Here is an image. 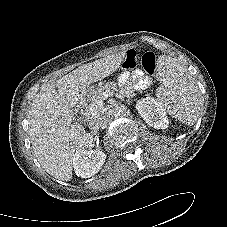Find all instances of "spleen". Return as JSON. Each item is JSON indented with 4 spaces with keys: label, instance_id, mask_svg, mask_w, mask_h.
Listing matches in <instances>:
<instances>
[{
    "label": "spleen",
    "instance_id": "spleen-1",
    "mask_svg": "<svg viewBox=\"0 0 227 227\" xmlns=\"http://www.w3.org/2000/svg\"><path fill=\"white\" fill-rule=\"evenodd\" d=\"M161 82L159 100L167 112L179 121L193 125L203 105L198 86L180 61L162 55L157 62Z\"/></svg>",
    "mask_w": 227,
    "mask_h": 227
}]
</instances>
